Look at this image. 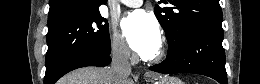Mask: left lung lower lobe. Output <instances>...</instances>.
Segmentation results:
<instances>
[{"mask_svg": "<svg viewBox=\"0 0 260 84\" xmlns=\"http://www.w3.org/2000/svg\"><path fill=\"white\" fill-rule=\"evenodd\" d=\"M221 23L204 22L190 26L177 43L168 47L167 58L149 69L155 72L196 73L227 84Z\"/></svg>", "mask_w": 260, "mask_h": 84, "instance_id": "left-lung-lower-lobe-1", "label": "left lung lower lobe"}]
</instances>
